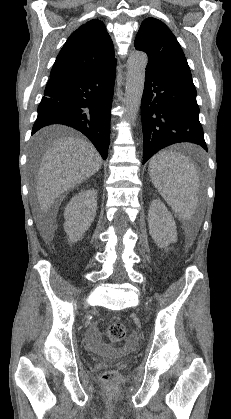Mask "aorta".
Returning <instances> with one entry per match:
<instances>
[{
  "label": "aorta",
  "instance_id": "obj_1",
  "mask_svg": "<svg viewBox=\"0 0 231 419\" xmlns=\"http://www.w3.org/2000/svg\"><path fill=\"white\" fill-rule=\"evenodd\" d=\"M147 62V54L141 51L131 53L127 61L125 105L128 120L132 124L136 121L141 104Z\"/></svg>",
  "mask_w": 231,
  "mask_h": 419
}]
</instances>
